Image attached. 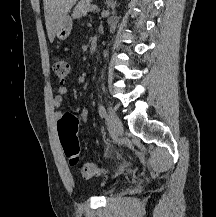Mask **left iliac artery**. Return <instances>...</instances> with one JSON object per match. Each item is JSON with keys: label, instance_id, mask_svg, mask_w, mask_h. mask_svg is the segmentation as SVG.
Returning <instances> with one entry per match:
<instances>
[{"label": "left iliac artery", "instance_id": "obj_1", "mask_svg": "<svg viewBox=\"0 0 216 217\" xmlns=\"http://www.w3.org/2000/svg\"><path fill=\"white\" fill-rule=\"evenodd\" d=\"M98 112L102 118L106 116V109L102 104L99 105ZM106 150H108V147L106 148Z\"/></svg>", "mask_w": 216, "mask_h": 217}]
</instances>
